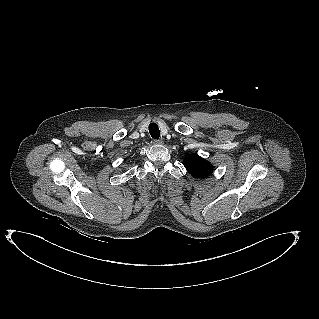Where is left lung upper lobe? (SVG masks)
<instances>
[{
	"label": "left lung upper lobe",
	"mask_w": 319,
	"mask_h": 319,
	"mask_svg": "<svg viewBox=\"0 0 319 319\" xmlns=\"http://www.w3.org/2000/svg\"><path fill=\"white\" fill-rule=\"evenodd\" d=\"M183 165L195 178H204L211 174L213 166L196 153L184 157Z\"/></svg>",
	"instance_id": "5c2ea615"
}]
</instances>
